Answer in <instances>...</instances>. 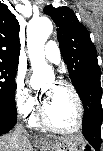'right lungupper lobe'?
Segmentation results:
<instances>
[{
  "label": "right lung upper lobe",
  "mask_w": 103,
  "mask_h": 151,
  "mask_svg": "<svg viewBox=\"0 0 103 151\" xmlns=\"http://www.w3.org/2000/svg\"><path fill=\"white\" fill-rule=\"evenodd\" d=\"M20 26L6 5L0 3V63L18 64Z\"/></svg>",
  "instance_id": "right-lung-upper-lobe-1"
}]
</instances>
